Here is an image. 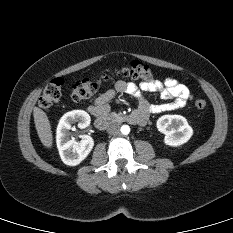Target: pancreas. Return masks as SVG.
<instances>
[{"label":"pancreas","instance_id":"pancreas-1","mask_svg":"<svg viewBox=\"0 0 233 233\" xmlns=\"http://www.w3.org/2000/svg\"><path fill=\"white\" fill-rule=\"evenodd\" d=\"M115 117H116V118H119V117H120V115H115Z\"/></svg>","mask_w":233,"mask_h":233}]
</instances>
